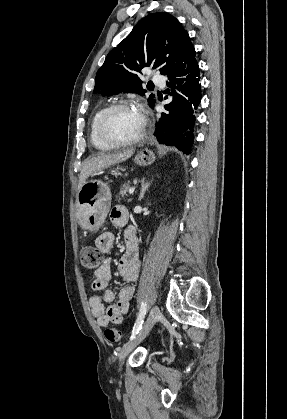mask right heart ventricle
Wrapping results in <instances>:
<instances>
[{"mask_svg":"<svg viewBox=\"0 0 287 419\" xmlns=\"http://www.w3.org/2000/svg\"><path fill=\"white\" fill-rule=\"evenodd\" d=\"M107 108V106L101 107L99 110L95 112L93 115L91 122H90V128H89V140L91 144L99 150H110L113 148V146L105 144L98 136L97 134V123L99 120V117L101 116L102 112Z\"/></svg>","mask_w":287,"mask_h":419,"instance_id":"right-heart-ventricle-1","label":"right heart ventricle"}]
</instances>
